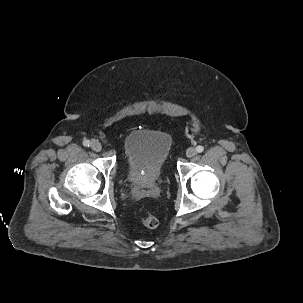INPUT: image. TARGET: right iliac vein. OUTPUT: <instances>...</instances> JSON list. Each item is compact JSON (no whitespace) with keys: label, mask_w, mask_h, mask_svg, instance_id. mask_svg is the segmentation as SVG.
Masks as SVG:
<instances>
[{"label":"right iliac vein","mask_w":303,"mask_h":303,"mask_svg":"<svg viewBox=\"0 0 303 303\" xmlns=\"http://www.w3.org/2000/svg\"><path fill=\"white\" fill-rule=\"evenodd\" d=\"M91 148L94 150V151H96V152H99V151H101V149H102V145L98 142V141H92V143H91Z\"/></svg>","instance_id":"1"}]
</instances>
